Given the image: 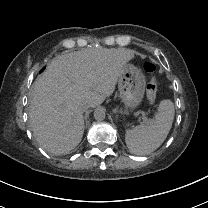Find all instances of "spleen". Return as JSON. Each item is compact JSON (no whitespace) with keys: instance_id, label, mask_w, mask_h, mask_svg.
Masks as SVG:
<instances>
[{"instance_id":"spleen-1","label":"spleen","mask_w":208,"mask_h":208,"mask_svg":"<svg viewBox=\"0 0 208 208\" xmlns=\"http://www.w3.org/2000/svg\"><path fill=\"white\" fill-rule=\"evenodd\" d=\"M175 114L171 100H162L155 115L154 124H141L127 130L125 142L131 153L147 155L161 146L166 139L173 123Z\"/></svg>"}]
</instances>
